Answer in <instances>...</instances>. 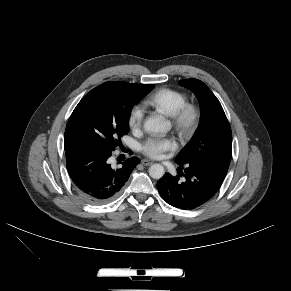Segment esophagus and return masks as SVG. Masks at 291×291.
<instances>
[{"label":"esophagus","instance_id":"1","mask_svg":"<svg viewBox=\"0 0 291 291\" xmlns=\"http://www.w3.org/2000/svg\"><path fill=\"white\" fill-rule=\"evenodd\" d=\"M141 163H142V165H144V166H150V165H152V162L149 161V160H147V159H143V160H141Z\"/></svg>","mask_w":291,"mask_h":291}]
</instances>
